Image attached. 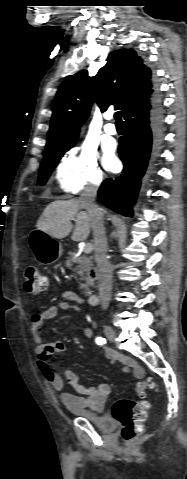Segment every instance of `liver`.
I'll list each match as a JSON object with an SVG mask.
<instances>
[{
  "label": "liver",
  "instance_id": "liver-1",
  "mask_svg": "<svg viewBox=\"0 0 187 479\" xmlns=\"http://www.w3.org/2000/svg\"><path fill=\"white\" fill-rule=\"evenodd\" d=\"M83 209L80 199L54 201L44 209L36 227L53 238L62 239L72 231L71 220L75 218L72 240L84 241L90 234L91 218Z\"/></svg>",
  "mask_w": 187,
  "mask_h": 479
}]
</instances>
